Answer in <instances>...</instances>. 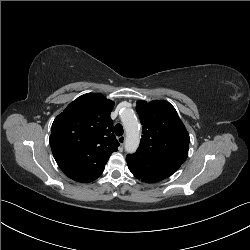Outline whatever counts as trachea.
<instances>
[{"label": "trachea", "mask_w": 250, "mask_h": 250, "mask_svg": "<svg viewBox=\"0 0 250 250\" xmlns=\"http://www.w3.org/2000/svg\"><path fill=\"white\" fill-rule=\"evenodd\" d=\"M114 132L117 136H121L123 134V126L121 124H116L114 127Z\"/></svg>", "instance_id": "obj_1"}]
</instances>
